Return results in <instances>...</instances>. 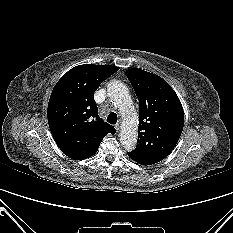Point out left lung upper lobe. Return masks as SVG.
I'll return each instance as SVG.
<instances>
[{
  "instance_id": "5c2ea615",
  "label": "left lung upper lobe",
  "mask_w": 233,
  "mask_h": 233,
  "mask_svg": "<svg viewBox=\"0 0 233 233\" xmlns=\"http://www.w3.org/2000/svg\"><path fill=\"white\" fill-rule=\"evenodd\" d=\"M139 100L137 147L128 156L141 165L163 160L176 146L184 126L182 104L158 75L133 68L126 71Z\"/></svg>"
}]
</instances>
